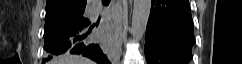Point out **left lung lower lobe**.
Here are the masks:
<instances>
[{"mask_svg":"<svg viewBox=\"0 0 242 64\" xmlns=\"http://www.w3.org/2000/svg\"><path fill=\"white\" fill-rule=\"evenodd\" d=\"M195 37L189 0H152L146 28L148 64H189Z\"/></svg>","mask_w":242,"mask_h":64,"instance_id":"obj_1","label":"left lung lower lobe"}]
</instances>
